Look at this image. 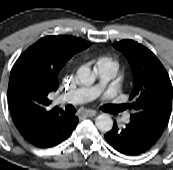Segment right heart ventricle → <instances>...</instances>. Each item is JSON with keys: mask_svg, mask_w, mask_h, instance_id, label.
Segmentation results:
<instances>
[{"mask_svg": "<svg viewBox=\"0 0 173 170\" xmlns=\"http://www.w3.org/2000/svg\"><path fill=\"white\" fill-rule=\"evenodd\" d=\"M99 62L104 63V64H106L108 66L113 67L115 69V71L118 68L117 63L114 60L110 59V58H102V59H100Z\"/></svg>", "mask_w": 173, "mask_h": 170, "instance_id": "right-heart-ventricle-1", "label": "right heart ventricle"}]
</instances>
